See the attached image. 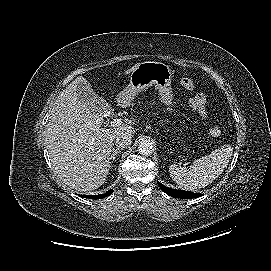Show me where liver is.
<instances>
[{
    "label": "liver",
    "mask_w": 271,
    "mask_h": 271,
    "mask_svg": "<svg viewBox=\"0 0 271 271\" xmlns=\"http://www.w3.org/2000/svg\"><path fill=\"white\" fill-rule=\"evenodd\" d=\"M140 63L125 71L131 73ZM84 83L94 92L84 77H77L57 97L50 110L46 127V144L54 172L69 187L90 191L104 184L110 170L113 137L119 132L131 135L130 125L101 128L103 117L89 109L77 97V85Z\"/></svg>",
    "instance_id": "6515ba94"
}]
</instances>
